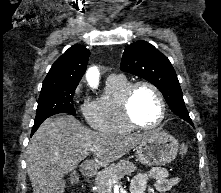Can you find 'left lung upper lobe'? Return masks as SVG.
Here are the masks:
<instances>
[{
    "label": "left lung upper lobe",
    "instance_id": "left-lung-upper-lobe-1",
    "mask_svg": "<svg viewBox=\"0 0 221 193\" xmlns=\"http://www.w3.org/2000/svg\"><path fill=\"white\" fill-rule=\"evenodd\" d=\"M120 69L155 85L171 111L192 124L175 70L169 59L153 45L143 40L128 45Z\"/></svg>",
    "mask_w": 221,
    "mask_h": 193
}]
</instances>
